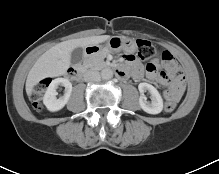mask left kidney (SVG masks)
I'll return each instance as SVG.
<instances>
[{
	"label": "left kidney",
	"mask_w": 219,
	"mask_h": 174,
	"mask_svg": "<svg viewBox=\"0 0 219 174\" xmlns=\"http://www.w3.org/2000/svg\"><path fill=\"white\" fill-rule=\"evenodd\" d=\"M138 89L140 92L139 104L140 107L149 114H159L163 110V99L158 92V90L148 84V83H140L138 85ZM148 91L151 94V103H148L147 98L144 95V92Z\"/></svg>",
	"instance_id": "left-kidney-1"
}]
</instances>
